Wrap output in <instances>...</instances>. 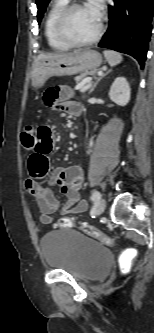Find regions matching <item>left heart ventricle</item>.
I'll list each match as a JSON object with an SVG mask.
<instances>
[{
  "mask_svg": "<svg viewBox=\"0 0 154 333\" xmlns=\"http://www.w3.org/2000/svg\"><path fill=\"white\" fill-rule=\"evenodd\" d=\"M99 16L87 6L76 8L69 16L67 29L77 40H88L97 32Z\"/></svg>",
  "mask_w": 154,
  "mask_h": 333,
  "instance_id": "left-heart-ventricle-1",
  "label": "left heart ventricle"
}]
</instances>
